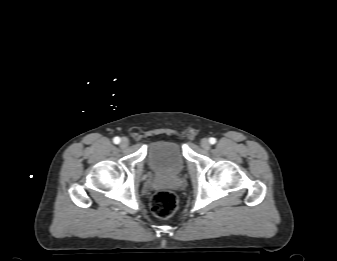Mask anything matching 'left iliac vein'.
<instances>
[{
	"mask_svg": "<svg viewBox=\"0 0 337 261\" xmlns=\"http://www.w3.org/2000/svg\"><path fill=\"white\" fill-rule=\"evenodd\" d=\"M201 147L205 150H209L210 149V143L209 140L207 138H203L201 140Z\"/></svg>",
	"mask_w": 337,
	"mask_h": 261,
	"instance_id": "obj_1",
	"label": "left iliac vein"
}]
</instances>
